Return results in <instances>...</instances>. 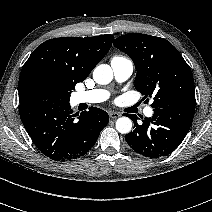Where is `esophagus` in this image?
<instances>
[{
	"label": "esophagus",
	"mask_w": 212,
	"mask_h": 212,
	"mask_svg": "<svg viewBox=\"0 0 212 212\" xmlns=\"http://www.w3.org/2000/svg\"><path fill=\"white\" fill-rule=\"evenodd\" d=\"M109 116L111 119H117L121 115L118 112H109Z\"/></svg>",
	"instance_id": "obj_1"
}]
</instances>
